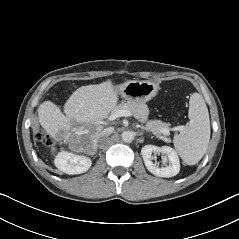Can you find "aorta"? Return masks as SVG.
<instances>
[{
  "label": "aorta",
  "instance_id": "762f6f07",
  "mask_svg": "<svg viewBox=\"0 0 239 239\" xmlns=\"http://www.w3.org/2000/svg\"><path fill=\"white\" fill-rule=\"evenodd\" d=\"M122 139L124 142L130 143L134 139V134L130 131H124L122 133Z\"/></svg>",
  "mask_w": 239,
  "mask_h": 239
}]
</instances>
